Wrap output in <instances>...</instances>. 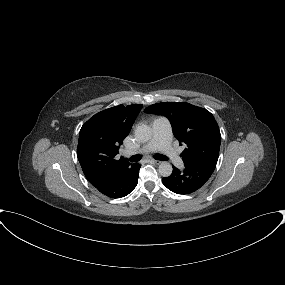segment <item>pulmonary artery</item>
Masks as SVG:
<instances>
[{"label": "pulmonary artery", "mask_w": 285, "mask_h": 285, "mask_svg": "<svg viewBox=\"0 0 285 285\" xmlns=\"http://www.w3.org/2000/svg\"><path fill=\"white\" fill-rule=\"evenodd\" d=\"M153 136L138 149L140 153H150L161 150L179 169H183V161L171 144L172 131L167 118L156 117L152 122Z\"/></svg>", "instance_id": "obj_1"}]
</instances>
